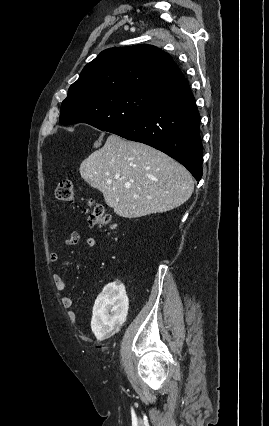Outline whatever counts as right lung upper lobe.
<instances>
[{"label": "right lung upper lobe", "instance_id": "right-lung-upper-lobe-1", "mask_svg": "<svg viewBox=\"0 0 269 426\" xmlns=\"http://www.w3.org/2000/svg\"><path fill=\"white\" fill-rule=\"evenodd\" d=\"M183 78L171 56L155 46L110 48L84 67L68 95L78 93L84 98H93L130 89L158 92Z\"/></svg>", "mask_w": 269, "mask_h": 426}]
</instances>
